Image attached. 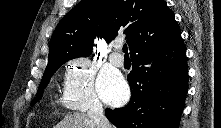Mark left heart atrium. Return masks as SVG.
Wrapping results in <instances>:
<instances>
[{"label": "left heart atrium", "instance_id": "obj_1", "mask_svg": "<svg viewBox=\"0 0 221 128\" xmlns=\"http://www.w3.org/2000/svg\"><path fill=\"white\" fill-rule=\"evenodd\" d=\"M98 88L102 99L109 104H117L126 99L128 88L125 82L115 72L102 73Z\"/></svg>", "mask_w": 221, "mask_h": 128}]
</instances>
